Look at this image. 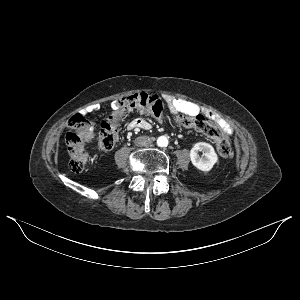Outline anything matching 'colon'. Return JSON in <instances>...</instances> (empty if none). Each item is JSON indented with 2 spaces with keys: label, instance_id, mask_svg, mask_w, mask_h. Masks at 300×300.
I'll list each match as a JSON object with an SVG mask.
<instances>
[{
  "label": "colon",
  "instance_id": "obj_1",
  "mask_svg": "<svg viewBox=\"0 0 300 300\" xmlns=\"http://www.w3.org/2000/svg\"><path fill=\"white\" fill-rule=\"evenodd\" d=\"M132 111L150 114L158 120H164L167 116L159 97L138 92L117 100L113 105L112 114L101 123L98 131L82 117L72 118L69 122L71 130L66 135L70 169L73 172H82L85 169L87 163L85 145L88 142L96 140L101 149H112L118 141L122 118ZM174 121L179 126L195 129L213 139L222 158H229L232 155V146L228 138L218 126L211 124L204 116L176 113Z\"/></svg>",
  "mask_w": 300,
  "mask_h": 300
}]
</instances>
